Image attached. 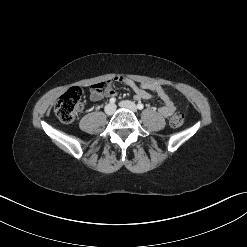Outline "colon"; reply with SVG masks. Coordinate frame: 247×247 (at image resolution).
Segmentation results:
<instances>
[{"label": "colon", "instance_id": "5ec220e1", "mask_svg": "<svg viewBox=\"0 0 247 247\" xmlns=\"http://www.w3.org/2000/svg\"><path fill=\"white\" fill-rule=\"evenodd\" d=\"M107 83H98L91 87V92L103 91ZM82 90L78 87H73L65 92L56 102L54 112L57 118L65 123L72 124L77 117L79 110L82 107L81 103ZM184 123V114L181 111H176L170 119L172 128H180Z\"/></svg>", "mask_w": 247, "mask_h": 247}]
</instances>
